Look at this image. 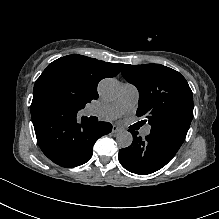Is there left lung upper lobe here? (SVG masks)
Returning <instances> with one entry per match:
<instances>
[{"label": "left lung upper lobe", "instance_id": "obj_1", "mask_svg": "<svg viewBox=\"0 0 219 219\" xmlns=\"http://www.w3.org/2000/svg\"><path fill=\"white\" fill-rule=\"evenodd\" d=\"M121 73L139 91L136 115L148 119L151 133L181 147L193 118V94L185 78L160 64H123Z\"/></svg>", "mask_w": 219, "mask_h": 219}]
</instances>
